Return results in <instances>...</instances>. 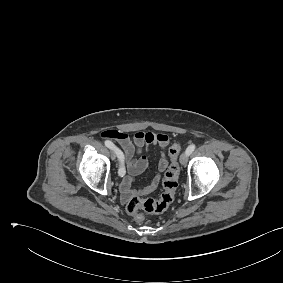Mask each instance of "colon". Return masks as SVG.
Instances as JSON below:
<instances>
[{
  "mask_svg": "<svg viewBox=\"0 0 283 283\" xmlns=\"http://www.w3.org/2000/svg\"><path fill=\"white\" fill-rule=\"evenodd\" d=\"M181 151L179 143L173 144L169 148V156L171 164L164 174L162 182L163 192L158 199H141L138 196L132 197L126 204V211L133 216L135 220L142 221L144 216L141 213L143 210L146 213H161L164 212L174 200L175 191L178 186L179 164L178 156Z\"/></svg>",
  "mask_w": 283,
  "mask_h": 283,
  "instance_id": "colon-1",
  "label": "colon"
}]
</instances>
